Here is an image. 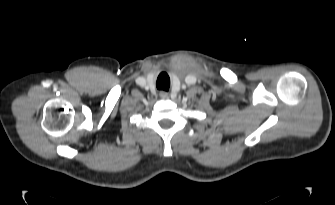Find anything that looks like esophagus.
Returning a JSON list of instances; mask_svg holds the SVG:
<instances>
[{
  "label": "esophagus",
  "mask_w": 335,
  "mask_h": 205,
  "mask_svg": "<svg viewBox=\"0 0 335 205\" xmlns=\"http://www.w3.org/2000/svg\"><path fill=\"white\" fill-rule=\"evenodd\" d=\"M160 96H161L162 98H166L168 95H167L166 92H161V93H160Z\"/></svg>",
  "instance_id": "1"
}]
</instances>
